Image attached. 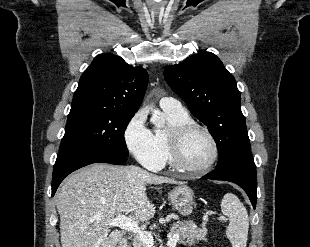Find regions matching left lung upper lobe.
<instances>
[{"instance_id": "5c2ea615", "label": "left lung upper lobe", "mask_w": 310, "mask_h": 247, "mask_svg": "<svg viewBox=\"0 0 310 247\" xmlns=\"http://www.w3.org/2000/svg\"><path fill=\"white\" fill-rule=\"evenodd\" d=\"M164 77L191 113L208 127L218 148L217 165L251 151L235 78L216 55L201 51L168 66Z\"/></svg>"}]
</instances>
